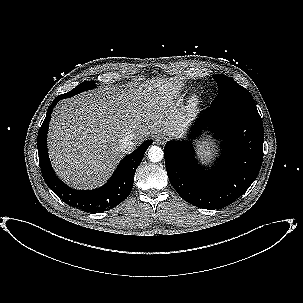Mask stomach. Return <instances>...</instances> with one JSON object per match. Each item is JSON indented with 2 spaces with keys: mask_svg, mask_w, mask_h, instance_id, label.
Returning <instances> with one entry per match:
<instances>
[{
  "mask_svg": "<svg viewBox=\"0 0 303 303\" xmlns=\"http://www.w3.org/2000/svg\"><path fill=\"white\" fill-rule=\"evenodd\" d=\"M206 148V150L204 151L205 156L207 157V159H209L211 157V151L209 150L208 144H204V146Z\"/></svg>",
  "mask_w": 303,
  "mask_h": 303,
  "instance_id": "1",
  "label": "stomach"
}]
</instances>
